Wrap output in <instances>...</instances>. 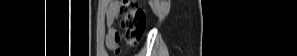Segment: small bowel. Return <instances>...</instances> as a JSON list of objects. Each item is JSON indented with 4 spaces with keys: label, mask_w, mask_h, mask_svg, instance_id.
<instances>
[{
    "label": "small bowel",
    "mask_w": 297,
    "mask_h": 56,
    "mask_svg": "<svg viewBox=\"0 0 297 56\" xmlns=\"http://www.w3.org/2000/svg\"><path fill=\"white\" fill-rule=\"evenodd\" d=\"M117 19V9L115 4H111L106 14V23L108 31L105 36V45L110 50H118V43L120 41L119 32L113 27Z\"/></svg>",
    "instance_id": "obj_1"
}]
</instances>
